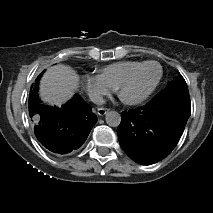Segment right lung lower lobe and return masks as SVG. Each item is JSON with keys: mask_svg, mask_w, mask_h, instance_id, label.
<instances>
[{"mask_svg": "<svg viewBox=\"0 0 213 213\" xmlns=\"http://www.w3.org/2000/svg\"><path fill=\"white\" fill-rule=\"evenodd\" d=\"M37 78L28 101L29 114L37 139L47 149L66 154L78 149L88 137L97 117L91 107L76 96L62 107L47 106L38 97Z\"/></svg>", "mask_w": 213, "mask_h": 213, "instance_id": "98d812e1", "label": "right lung lower lobe"}]
</instances>
